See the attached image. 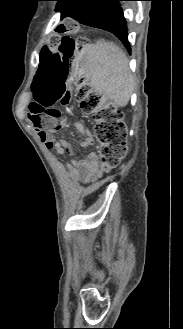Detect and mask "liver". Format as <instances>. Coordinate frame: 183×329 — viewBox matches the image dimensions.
<instances>
[{"instance_id": "6515ba94", "label": "liver", "mask_w": 183, "mask_h": 329, "mask_svg": "<svg viewBox=\"0 0 183 329\" xmlns=\"http://www.w3.org/2000/svg\"><path fill=\"white\" fill-rule=\"evenodd\" d=\"M75 69L85 78L102 104L124 107L134 88L126 54L113 42L103 39L83 46Z\"/></svg>"}]
</instances>
